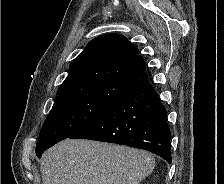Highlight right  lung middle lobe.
<instances>
[{"label":"right lung middle lobe","mask_w":224,"mask_h":184,"mask_svg":"<svg viewBox=\"0 0 224 184\" xmlns=\"http://www.w3.org/2000/svg\"><path fill=\"white\" fill-rule=\"evenodd\" d=\"M130 89L122 84L91 81L57 93L36 144L37 157L98 118Z\"/></svg>","instance_id":"1"}]
</instances>
